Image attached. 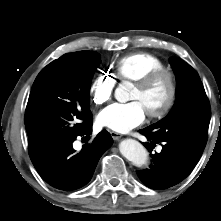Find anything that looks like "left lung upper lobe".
I'll return each instance as SVG.
<instances>
[{
	"label": "left lung upper lobe",
	"instance_id": "1",
	"mask_svg": "<svg viewBox=\"0 0 221 221\" xmlns=\"http://www.w3.org/2000/svg\"><path fill=\"white\" fill-rule=\"evenodd\" d=\"M176 74L177 100L170 113L149 126L155 139H176L205 148L211 109L197 72L187 63L170 60Z\"/></svg>",
	"mask_w": 221,
	"mask_h": 221
}]
</instances>
